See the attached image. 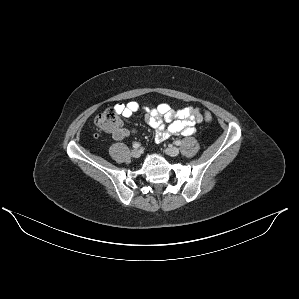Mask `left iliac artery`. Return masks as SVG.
I'll return each instance as SVG.
<instances>
[{"label": "left iliac artery", "mask_w": 299, "mask_h": 299, "mask_svg": "<svg viewBox=\"0 0 299 299\" xmlns=\"http://www.w3.org/2000/svg\"><path fill=\"white\" fill-rule=\"evenodd\" d=\"M174 144L177 145V146H179V145H181V141L177 140V141L174 142Z\"/></svg>", "instance_id": "left-iliac-artery-1"}]
</instances>
